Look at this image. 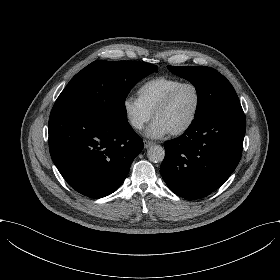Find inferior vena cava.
<instances>
[{"instance_id": "inferior-vena-cava-1", "label": "inferior vena cava", "mask_w": 280, "mask_h": 280, "mask_svg": "<svg viewBox=\"0 0 280 280\" xmlns=\"http://www.w3.org/2000/svg\"><path fill=\"white\" fill-rule=\"evenodd\" d=\"M132 125L135 127V128H141L142 127V122L139 120V119H133L131 121Z\"/></svg>"}]
</instances>
